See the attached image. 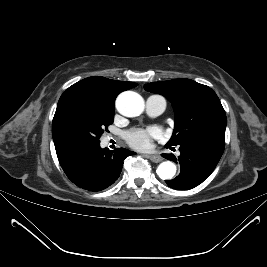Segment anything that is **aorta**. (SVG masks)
<instances>
[{
  "label": "aorta",
  "instance_id": "1",
  "mask_svg": "<svg viewBox=\"0 0 267 267\" xmlns=\"http://www.w3.org/2000/svg\"><path fill=\"white\" fill-rule=\"evenodd\" d=\"M116 107L120 114L126 117L139 116L144 110L143 98L132 91L121 93L116 100ZM176 165L171 161H164L159 164L156 172L163 180H169L176 174Z\"/></svg>",
  "mask_w": 267,
  "mask_h": 267
}]
</instances>
